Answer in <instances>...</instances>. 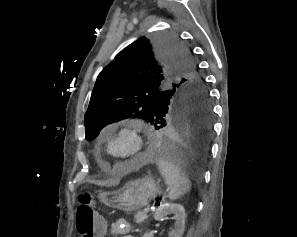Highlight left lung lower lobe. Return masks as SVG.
<instances>
[{
    "mask_svg": "<svg viewBox=\"0 0 297 237\" xmlns=\"http://www.w3.org/2000/svg\"><path fill=\"white\" fill-rule=\"evenodd\" d=\"M166 114V119L158 123L159 133L147 153L184 166L201 165L208 154L212 134L210 101L176 103Z\"/></svg>",
    "mask_w": 297,
    "mask_h": 237,
    "instance_id": "obj_1",
    "label": "left lung lower lobe"
}]
</instances>
